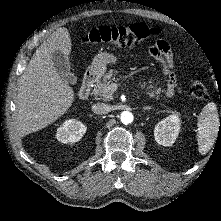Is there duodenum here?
I'll use <instances>...</instances> for the list:
<instances>
[{
  "mask_svg": "<svg viewBox=\"0 0 221 221\" xmlns=\"http://www.w3.org/2000/svg\"><path fill=\"white\" fill-rule=\"evenodd\" d=\"M96 80L97 73L95 71H89L86 73L78 94L81 100H86L89 97L92 86L96 82Z\"/></svg>",
  "mask_w": 221,
  "mask_h": 221,
  "instance_id": "obj_1",
  "label": "duodenum"
}]
</instances>
